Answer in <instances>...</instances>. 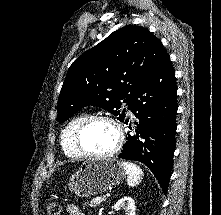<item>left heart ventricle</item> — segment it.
I'll return each instance as SVG.
<instances>
[{"label": "left heart ventricle", "instance_id": "1", "mask_svg": "<svg viewBox=\"0 0 221 215\" xmlns=\"http://www.w3.org/2000/svg\"><path fill=\"white\" fill-rule=\"evenodd\" d=\"M116 143L114 127L107 121L93 122L83 133L82 144L92 153H104Z\"/></svg>", "mask_w": 221, "mask_h": 215}]
</instances>
